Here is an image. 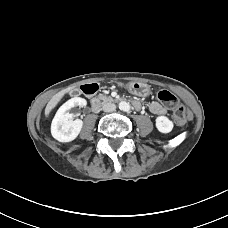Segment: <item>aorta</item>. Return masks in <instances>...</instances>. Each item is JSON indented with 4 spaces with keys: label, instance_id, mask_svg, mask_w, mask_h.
Returning a JSON list of instances; mask_svg holds the SVG:
<instances>
[{
    "label": "aorta",
    "instance_id": "aorta-1",
    "mask_svg": "<svg viewBox=\"0 0 228 228\" xmlns=\"http://www.w3.org/2000/svg\"><path fill=\"white\" fill-rule=\"evenodd\" d=\"M119 107L123 111H129L130 110V104L128 102H121Z\"/></svg>",
    "mask_w": 228,
    "mask_h": 228
}]
</instances>
